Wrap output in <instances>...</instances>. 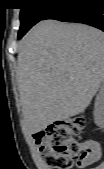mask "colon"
<instances>
[{"label": "colon", "instance_id": "obj_1", "mask_svg": "<svg viewBox=\"0 0 104 169\" xmlns=\"http://www.w3.org/2000/svg\"><path fill=\"white\" fill-rule=\"evenodd\" d=\"M85 127L82 115L61 120L45 132L35 135L41 153L49 166L54 169L83 167L96 161L100 153L90 139L79 136Z\"/></svg>", "mask_w": 104, "mask_h": 169}]
</instances>
